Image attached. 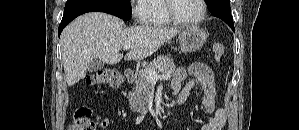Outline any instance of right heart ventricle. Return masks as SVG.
Segmentation results:
<instances>
[{
  "label": "right heart ventricle",
  "instance_id": "right-heart-ventricle-1",
  "mask_svg": "<svg viewBox=\"0 0 299 130\" xmlns=\"http://www.w3.org/2000/svg\"><path fill=\"white\" fill-rule=\"evenodd\" d=\"M145 23L154 27H166L171 25L165 11V0H149L146 4Z\"/></svg>",
  "mask_w": 299,
  "mask_h": 130
}]
</instances>
